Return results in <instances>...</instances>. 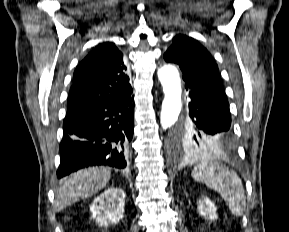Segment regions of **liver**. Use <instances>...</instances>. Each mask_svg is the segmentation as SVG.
I'll return each instance as SVG.
<instances>
[{
	"mask_svg": "<svg viewBox=\"0 0 289 232\" xmlns=\"http://www.w3.org/2000/svg\"><path fill=\"white\" fill-rule=\"evenodd\" d=\"M111 171L106 167H88L61 181L55 196V208L65 206L98 193L106 187Z\"/></svg>",
	"mask_w": 289,
	"mask_h": 232,
	"instance_id": "6515ba94",
	"label": "liver"
}]
</instances>
